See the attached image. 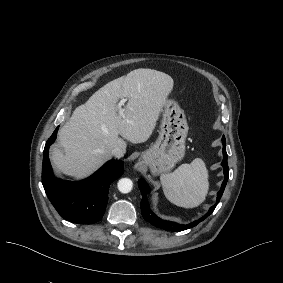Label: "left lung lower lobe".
<instances>
[{"label": "left lung lower lobe", "mask_w": 283, "mask_h": 283, "mask_svg": "<svg viewBox=\"0 0 283 283\" xmlns=\"http://www.w3.org/2000/svg\"><path fill=\"white\" fill-rule=\"evenodd\" d=\"M222 143H223V161H222L221 164L224 168L225 179L222 183L220 191L217 194L216 203L213 206L210 207L209 211L204 216H202L200 219H198V220H196V221H194L190 224H186V225L180 224V223H177V222H173V221H169V220H165V219L158 217L149 208V204H148V200H147V194H148L150 188L143 179H139L138 186H139V189H140L141 194H142L141 213H142L144 219L146 221H148L150 224H152L153 226L160 228V229L168 230V231H183V230H186V229H189V228H193L197 224H199L201 221L206 219L214 211L215 207L217 206L218 202L220 201L222 194H223V191H224L225 186H226L227 181H228L229 168H228V164H227L226 140H225L224 136L222 138Z\"/></svg>", "instance_id": "left-lung-lower-lobe-1"}]
</instances>
